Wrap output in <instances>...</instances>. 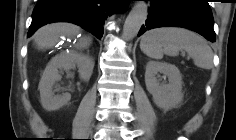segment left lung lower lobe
I'll return each mask as SVG.
<instances>
[{"mask_svg":"<svg viewBox=\"0 0 236 140\" xmlns=\"http://www.w3.org/2000/svg\"><path fill=\"white\" fill-rule=\"evenodd\" d=\"M149 14L138 36L158 27H184L215 41L208 0H148Z\"/></svg>","mask_w":236,"mask_h":140,"instance_id":"1","label":"left lung lower lobe"}]
</instances>
